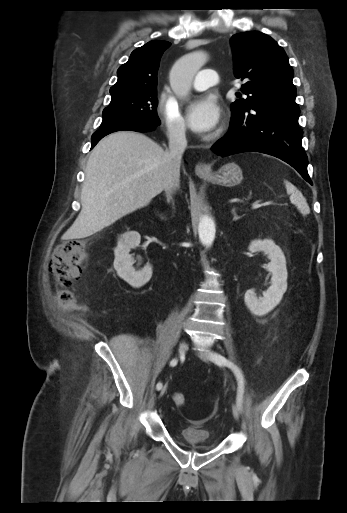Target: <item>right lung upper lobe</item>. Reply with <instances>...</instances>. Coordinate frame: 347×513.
I'll return each instance as SVG.
<instances>
[{"instance_id": "right-lung-upper-lobe-1", "label": "right lung upper lobe", "mask_w": 347, "mask_h": 513, "mask_svg": "<svg viewBox=\"0 0 347 513\" xmlns=\"http://www.w3.org/2000/svg\"><path fill=\"white\" fill-rule=\"evenodd\" d=\"M170 45L167 41L153 40L134 50L129 60L118 69V80L110 93L157 89L160 58Z\"/></svg>"}]
</instances>
